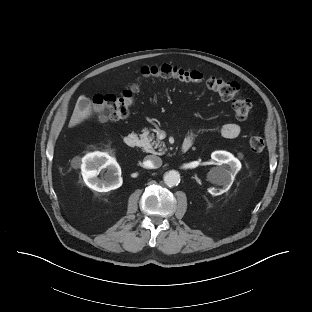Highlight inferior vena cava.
<instances>
[{
    "instance_id": "1",
    "label": "inferior vena cava",
    "mask_w": 312,
    "mask_h": 312,
    "mask_svg": "<svg viewBox=\"0 0 312 312\" xmlns=\"http://www.w3.org/2000/svg\"><path fill=\"white\" fill-rule=\"evenodd\" d=\"M146 165L149 168L157 169L162 166V159L155 155H149L145 157Z\"/></svg>"
}]
</instances>
